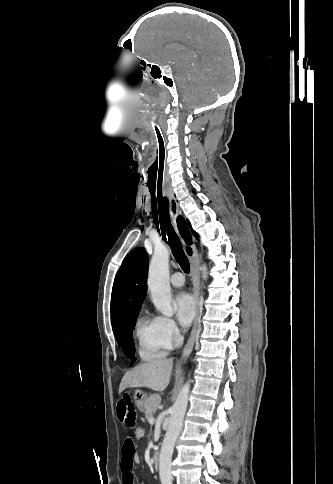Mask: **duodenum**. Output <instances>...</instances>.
<instances>
[{"label": "duodenum", "mask_w": 333, "mask_h": 484, "mask_svg": "<svg viewBox=\"0 0 333 484\" xmlns=\"http://www.w3.org/2000/svg\"><path fill=\"white\" fill-rule=\"evenodd\" d=\"M153 465L155 469H159L160 466V449H156L153 453Z\"/></svg>", "instance_id": "410a0bca"}]
</instances>
